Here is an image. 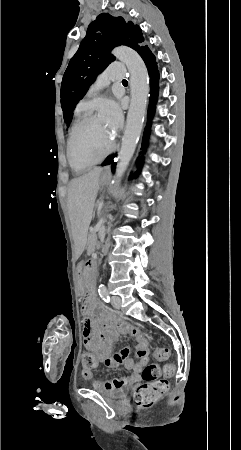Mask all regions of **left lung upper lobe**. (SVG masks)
<instances>
[{
    "instance_id": "1",
    "label": "left lung upper lobe",
    "mask_w": 241,
    "mask_h": 450,
    "mask_svg": "<svg viewBox=\"0 0 241 450\" xmlns=\"http://www.w3.org/2000/svg\"><path fill=\"white\" fill-rule=\"evenodd\" d=\"M144 37L138 25L114 17L108 13L100 14L91 22L85 38L78 51L71 58L64 73L60 97L64 121L69 126L73 111L83 98L90 85L115 57L111 50L119 45H126L136 50L139 55L148 46L142 45Z\"/></svg>"
}]
</instances>
